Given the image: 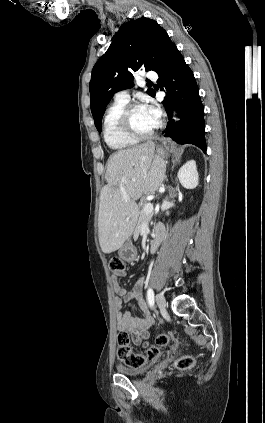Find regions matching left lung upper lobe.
<instances>
[{
    "label": "left lung upper lobe",
    "mask_w": 265,
    "mask_h": 423,
    "mask_svg": "<svg viewBox=\"0 0 265 423\" xmlns=\"http://www.w3.org/2000/svg\"><path fill=\"white\" fill-rule=\"evenodd\" d=\"M170 41L166 31L152 19L139 18L122 24L115 40L92 70L90 106L99 132L112 96L132 87L133 72L141 69L157 72ZM147 93L153 96L155 91L148 89Z\"/></svg>",
    "instance_id": "1"
}]
</instances>
